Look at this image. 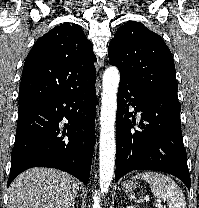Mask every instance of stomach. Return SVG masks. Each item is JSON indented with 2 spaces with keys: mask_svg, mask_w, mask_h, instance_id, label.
<instances>
[{
  "mask_svg": "<svg viewBox=\"0 0 199 208\" xmlns=\"http://www.w3.org/2000/svg\"><path fill=\"white\" fill-rule=\"evenodd\" d=\"M136 187V183L132 181H126L123 183L122 188L126 193H131Z\"/></svg>",
  "mask_w": 199,
  "mask_h": 208,
  "instance_id": "stomach-1",
  "label": "stomach"
}]
</instances>
